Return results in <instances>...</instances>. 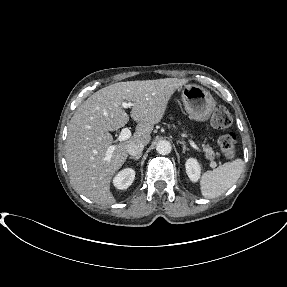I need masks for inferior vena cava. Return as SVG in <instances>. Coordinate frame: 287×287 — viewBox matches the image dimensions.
<instances>
[{
	"label": "inferior vena cava",
	"mask_w": 287,
	"mask_h": 287,
	"mask_svg": "<svg viewBox=\"0 0 287 287\" xmlns=\"http://www.w3.org/2000/svg\"><path fill=\"white\" fill-rule=\"evenodd\" d=\"M144 144L142 142H133L128 148V153L131 156H138L142 153Z\"/></svg>",
	"instance_id": "obj_1"
}]
</instances>
